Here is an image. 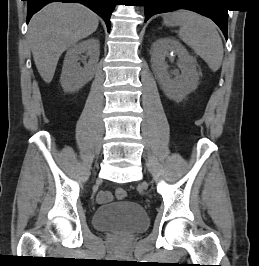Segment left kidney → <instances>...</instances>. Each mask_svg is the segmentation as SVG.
Wrapping results in <instances>:
<instances>
[{"mask_svg": "<svg viewBox=\"0 0 259 266\" xmlns=\"http://www.w3.org/2000/svg\"><path fill=\"white\" fill-rule=\"evenodd\" d=\"M177 55L181 75L171 78L165 58ZM151 63L164 94L175 101H181L199 84L196 59L176 39L164 37L156 40L151 48Z\"/></svg>", "mask_w": 259, "mask_h": 266, "instance_id": "obj_1", "label": "left kidney"}]
</instances>
